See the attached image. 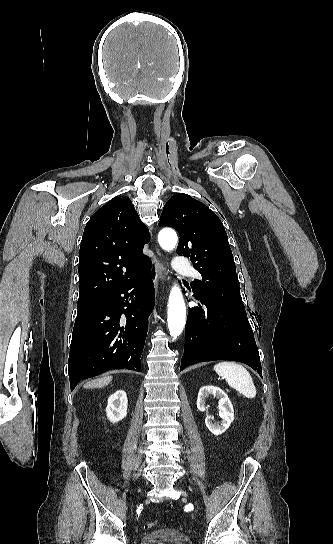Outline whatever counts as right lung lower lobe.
Here are the masks:
<instances>
[{"label":"right lung lower lobe","instance_id":"right-lung-lower-lobe-1","mask_svg":"<svg viewBox=\"0 0 333 544\" xmlns=\"http://www.w3.org/2000/svg\"><path fill=\"white\" fill-rule=\"evenodd\" d=\"M154 302L149 267L98 308L77 316L68 360L71 391L79 381L108 370H141L140 357Z\"/></svg>","mask_w":333,"mask_h":544}]
</instances>
